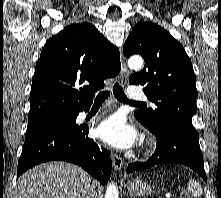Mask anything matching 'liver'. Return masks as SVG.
<instances>
[{
    "label": "liver",
    "mask_w": 221,
    "mask_h": 198,
    "mask_svg": "<svg viewBox=\"0 0 221 198\" xmlns=\"http://www.w3.org/2000/svg\"><path fill=\"white\" fill-rule=\"evenodd\" d=\"M91 182V176L74 164L43 163L19 178L13 198H87Z\"/></svg>",
    "instance_id": "obj_1"
}]
</instances>
